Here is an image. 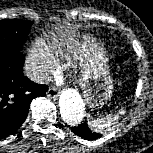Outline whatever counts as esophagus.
<instances>
[{
    "instance_id": "34e87169",
    "label": "esophagus",
    "mask_w": 153,
    "mask_h": 153,
    "mask_svg": "<svg viewBox=\"0 0 153 153\" xmlns=\"http://www.w3.org/2000/svg\"><path fill=\"white\" fill-rule=\"evenodd\" d=\"M46 94H47L48 97H50L54 100L57 99L58 96H59V93L56 90V88H49Z\"/></svg>"
}]
</instances>
